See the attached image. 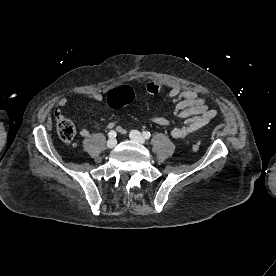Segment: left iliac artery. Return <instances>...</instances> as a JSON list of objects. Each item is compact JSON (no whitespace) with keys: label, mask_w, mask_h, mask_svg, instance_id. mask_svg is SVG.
<instances>
[{"label":"left iliac artery","mask_w":276,"mask_h":276,"mask_svg":"<svg viewBox=\"0 0 276 276\" xmlns=\"http://www.w3.org/2000/svg\"><path fill=\"white\" fill-rule=\"evenodd\" d=\"M143 136H144L145 139H149L150 136H151V134H150V132H148V131H144V132H143Z\"/></svg>","instance_id":"left-iliac-artery-1"}]
</instances>
